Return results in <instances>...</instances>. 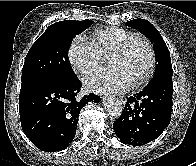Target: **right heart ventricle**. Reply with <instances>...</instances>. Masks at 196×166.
Here are the masks:
<instances>
[{
  "mask_svg": "<svg viewBox=\"0 0 196 166\" xmlns=\"http://www.w3.org/2000/svg\"><path fill=\"white\" fill-rule=\"evenodd\" d=\"M134 33L119 27H107L96 30L91 41L103 57L112 55Z\"/></svg>",
  "mask_w": 196,
  "mask_h": 166,
  "instance_id": "1",
  "label": "right heart ventricle"
}]
</instances>
